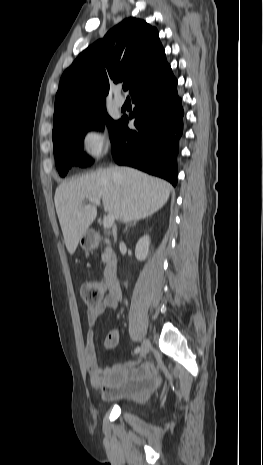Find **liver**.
<instances>
[{"label":"liver","instance_id":"1","mask_svg":"<svg viewBox=\"0 0 263 465\" xmlns=\"http://www.w3.org/2000/svg\"><path fill=\"white\" fill-rule=\"evenodd\" d=\"M172 186L157 177L130 167L111 166L61 183L54 196L56 212L68 252L74 254L79 240L97 215L90 198L102 200L104 210L125 223L144 219L161 209Z\"/></svg>","mask_w":263,"mask_h":465}]
</instances>
